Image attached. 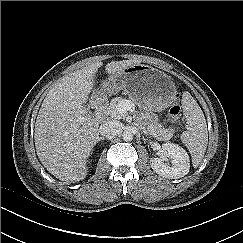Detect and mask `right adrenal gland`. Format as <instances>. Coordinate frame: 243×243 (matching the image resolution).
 I'll return each mask as SVG.
<instances>
[{"instance_id": "obj_1", "label": "right adrenal gland", "mask_w": 243, "mask_h": 243, "mask_svg": "<svg viewBox=\"0 0 243 243\" xmlns=\"http://www.w3.org/2000/svg\"><path fill=\"white\" fill-rule=\"evenodd\" d=\"M101 140H104L102 137H99L97 141H101Z\"/></svg>"}]
</instances>
